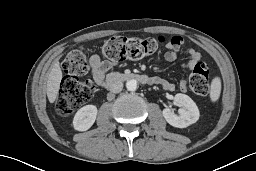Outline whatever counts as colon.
Here are the masks:
<instances>
[{
    "label": "colon",
    "mask_w": 256,
    "mask_h": 171,
    "mask_svg": "<svg viewBox=\"0 0 256 171\" xmlns=\"http://www.w3.org/2000/svg\"><path fill=\"white\" fill-rule=\"evenodd\" d=\"M163 37H112L102 46L104 56L112 61L136 60L156 53L164 43ZM66 76L60 83L56 110L60 115H69L86 104L92 96L94 86L89 80H80L88 71L86 51L83 46L69 52L62 62ZM189 85L197 95H206L209 91V72L205 63L199 62L193 68Z\"/></svg>",
    "instance_id": "1"
}]
</instances>
